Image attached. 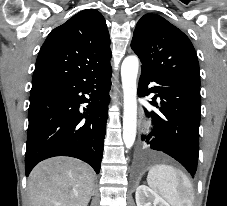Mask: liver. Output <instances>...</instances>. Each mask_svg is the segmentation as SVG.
<instances>
[{
    "label": "liver",
    "instance_id": "1",
    "mask_svg": "<svg viewBox=\"0 0 227 206\" xmlns=\"http://www.w3.org/2000/svg\"><path fill=\"white\" fill-rule=\"evenodd\" d=\"M27 187L29 206H87L94 188V173L80 160L50 158L32 170Z\"/></svg>",
    "mask_w": 227,
    "mask_h": 206
}]
</instances>
